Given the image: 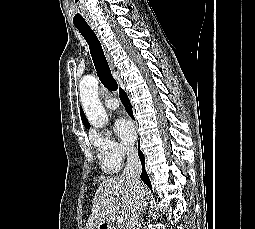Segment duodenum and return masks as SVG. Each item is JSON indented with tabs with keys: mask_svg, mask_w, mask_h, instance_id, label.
Segmentation results:
<instances>
[{
	"mask_svg": "<svg viewBox=\"0 0 255 229\" xmlns=\"http://www.w3.org/2000/svg\"><path fill=\"white\" fill-rule=\"evenodd\" d=\"M98 229H114V227L110 223H101Z\"/></svg>",
	"mask_w": 255,
	"mask_h": 229,
	"instance_id": "1",
	"label": "duodenum"
}]
</instances>
